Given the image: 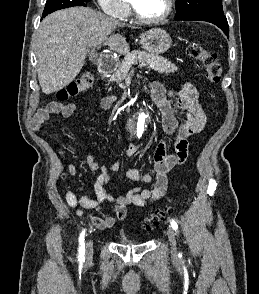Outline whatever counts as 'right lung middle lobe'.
I'll use <instances>...</instances> for the list:
<instances>
[{
  "instance_id": "1",
  "label": "right lung middle lobe",
  "mask_w": 259,
  "mask_h": 294,
  "mask_svg": "<svg viewBox=\"0 0 259 294\" xmlns=\"http://www.w3.org/2000/svg\"><path fill=\"white\" fill-rule=\"evenodd\" d=\"M89 1L91 0H47L43 11V17L47 16L48 14L56 10L72 6H87L86 3Z\"/></svg>"
}]
</instances>
